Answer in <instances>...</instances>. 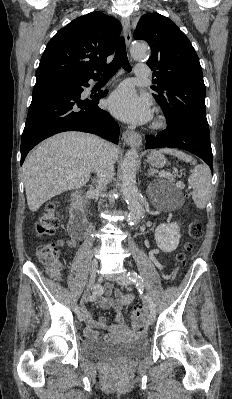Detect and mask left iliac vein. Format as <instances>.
Instances as JSON below:
<instances>
[{
    "mask_svg": "<svg viewBox=\"0 0 232 399\" xmlns=\"http://www.w3.org/2000/svg\"><path fill=\"white\" fill-rule=\"evenodd\" d=\"M118 285L119 286H133L134 282L131 281L130 278H118L117 279ZM155 321V315L153 312H150L147 318V323H150V325H152V323H154Z\"/></svg>",
    "mask_w": 232,
    "mask_h": 399,
    "instance_id": "obj_1",
    "label": "left iliac vein"
}]
</instances>
